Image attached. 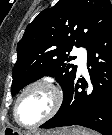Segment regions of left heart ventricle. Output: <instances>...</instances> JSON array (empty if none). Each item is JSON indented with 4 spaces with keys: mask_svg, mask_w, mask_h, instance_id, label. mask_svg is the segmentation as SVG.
<instances>
[{
    "mask_svg": "<svg viewBox=\"0 0 112 135\" xmlns=\"http://www.w3.org/2000/svg\"><path fill=\"white\" fill-rule=\"evenodd\" d=\"M53 104L54 94L49 88L43 86L32 88L20 100L19 117L24 123H34L46 116Z\"/></svg>",
    "mask_w": 112,
    "mask_h": 135,
    "instance_id": "b2bd125f",
    "label": "left heart ventricle"
}]
</instances>
